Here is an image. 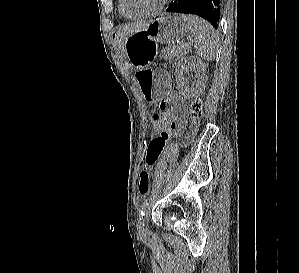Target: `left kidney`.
Here are the masks:
<instances>
[{"label":"left kidney","instance_id":"5707ae66","mask_svg":"<svg viewBox=\"0 0 299 273\" xmlns=\"http://www.w3.org/2000/svg\"><path fill=\"white\" fill-rule=\"evenodd\" d=\"M193 71L195 73V82L190 87L185 81V75ZM206 64L197 57L190 56L182 58L176 66L175 77L178 90L187 97L199 96L206 87Z\"/></svg>","mask_w":299,"mask_h":273}]
</instances>
